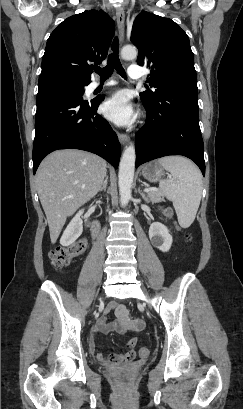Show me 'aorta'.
I'll return each instance as SVG.
<instances>
[{"label": "aorta", "mask_w": 243, "mask_h": 409, "mask_svg": "<svg viewBox=\"0 0 243 409\" xmlns=\"http://www.w3.org/2000/svg\"><path fill=\"white\" fill-rule=\"evenodd\" d=\"M137 50L134 46H125L121 50V57L125 60H133L137 57ZM135 146L130 143L123 151L119 164V194L122 206H125L131 198V187L135 170Z\"/></svg>", "instance_id": "1"}]
</instances>
